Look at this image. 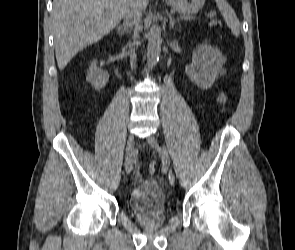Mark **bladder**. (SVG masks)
Returning a JSON list of instances; mask_svg holds the SVG:
<instances>
[{
  "label": "bladder",
  "mask_w": 295,
  "mask_h": 250,
  "mask_svg": "<svg viewBox=\"0 0 295 250\" xmlns=\"http://www.w3.org/2000/svg\"><path fill=\"white\" fill-rule=\"evenodd\" d=\"M129 207L140 219H158L166 209L165 195L155 179L138 183L130 193Z\"/></svg>",
  "instance_id": "bladder-1"
}]
</instances>
